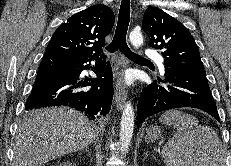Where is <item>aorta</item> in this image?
<instances>
[{
  "instance_id": "obj_1",
  "label": "aorta",
  "mask_w": 231,
  "mask_h": 166,
  "mask_svg": "<svg viewBox=\"0 0 231 166\" xmlns=\"http://www.w3.org/2000/svg\"><path fill=\"white\" fill-rule=\"evenodd\" d=\"M129 40L134 48H139L143 44V36L140 31L133 30L129 35ZM134 109L131 102L124 106L120 122V149L122 154H126L131 143L134 129Z\"/></svg>"
}]
</instances>
